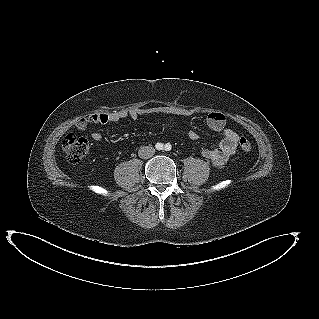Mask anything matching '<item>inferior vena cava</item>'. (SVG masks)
Returning <instances> with one entry per match:
<instances>
[{
	"instance_id": "inferior-vena-cava-1",
	"label": "inferior vena cava",
	"mask_w": 319,
	"mask_h": 319,
	"mask_svg": "<svg viewBox=\"0 0 319 319\" xmlns=\"http://www.w3.org/2000/svg\"><path fill=\"white\" fill-rule=\"evenodd\" d=\"M155 153V149L152 146H143L139 149L138 155L142 159H148Z\"/></svg>"
}]
</instances>
